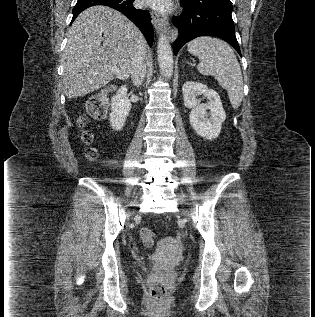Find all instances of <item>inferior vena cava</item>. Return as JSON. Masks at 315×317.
Instances as JSON below:
<instances>
[{
  "label": "inferior vena cava",
  "instance_id": "obj_1",
  "mask_svg": "<svg viewBox=\"0 0 315 317\" xmlns=\"http://www.w3.org/2000/svg\"><path fill=\"white\" fill-rule=\"evenodd\" d=\"M146 75V45L139 47L131 64V78L135 86L142 84Z\"/></svg>",
  "mask_w": 315,
  "mask_h": 317
}]
</instances>
